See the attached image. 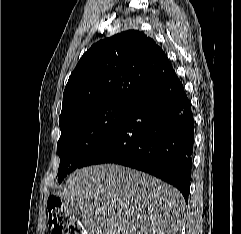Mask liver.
<instances>
[{
  "label": "liver",
  "instance_id": "liver-1",
  "mask_svg": "<svg viewBox=\"0 0 241 234\" xmlns=\"http://www.w3.org/2000/svg\"><path fill=\"white\" fill-rule=\"evenodd\" d=\"M57 196L80 214L87 234H175L185 214L176 188L114 164L76 170Z\"/></svg>",
  "mask_w": 241,
  "mask_h": 234
}]
</instances>
